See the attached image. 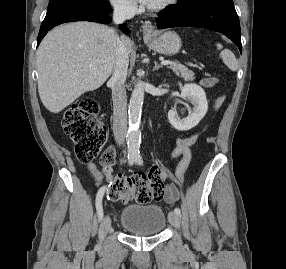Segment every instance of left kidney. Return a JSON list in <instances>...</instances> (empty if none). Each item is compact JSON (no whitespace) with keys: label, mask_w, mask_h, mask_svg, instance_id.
<instances>
[{"label":"left kidney","mask_w":286,"mask_h":269,"mask_svg":"<svg viewBox=\"0 0 286 269\" xmlns=\"http://www.w3.org/2000/svg\"><path fill=\"white\" fill-rule=\"evenodd\" d=\"M181 97L188 99L193 109L185 119H179L177 111L172 109L168 112V119L171 125L179 131H187L195 127L205 116L208 110V103L205 91L196 84H185L181 91Z\"/></svg>","instance_id":"obj_1"}]
</instances>
